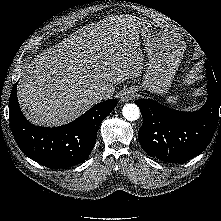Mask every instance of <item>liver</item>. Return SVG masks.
I'll return each instance as SVG.
<instances>
[{
    "label": "liver",
    "instance_id": "1",
    "mask_svg": "<svg viewBox=\"0 0 221 221\" xmlns=\"http://www.w3.org/2000/svg\"><path fill=\"white\" fill-rule=\"evenodd\" d=\"M144 22L129 15L108 17L43 50L23 67L17 86L27 119L39 126L66 124L98 102L93 91L104 89L110 98L114 84L139 76L137 30Z\"/></svg>",
    "mask_w": 221,
    "mask_h": 221
}]
</instances>
